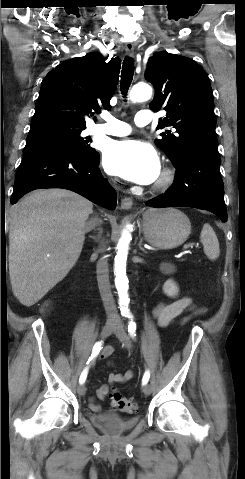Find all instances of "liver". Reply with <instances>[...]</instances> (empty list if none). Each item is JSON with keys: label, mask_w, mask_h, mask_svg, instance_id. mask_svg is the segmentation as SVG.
<instances>
[{"label": "liver", "mask_w": 245, "mask_h": 479, "mask_svg": "<svg viewBox=\"0 0 245 479\" xmlns=\"http://www.w3.org/2000/svg\"><path fill=\"white\" fill-rule=\"evenodd\" d=\"M93 204L65 189L36 190L12 207L9 274L15 297L37 303L77 262Z\"/></svg>", "instance_id": "6515ba94"}]
</instances>
